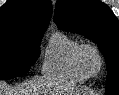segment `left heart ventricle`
<instances>
[{"label":"left heart ventricle","instance_id":"b2bd125f","mask_svg":"<svg viewBox=\"0 0 119 95\" xmlns=\"http://www.w3.org/2000/svg\"><path fill=\"white\" fill-rule=\"evenodd\" d=\"M85 65L91 72H96L99 68V60L94 52L87 51L84 55Z\"/></svg>","mask_w":119,"mask_h":95}]
</instances>
